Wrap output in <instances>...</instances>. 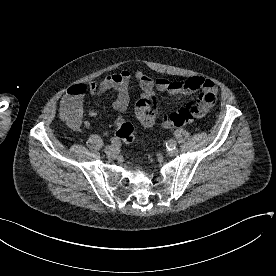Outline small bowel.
Listing matches in <instances>:
<instances>
[{"label":"small bowel","mask_w":276,"mask_h":276,"mask_svg":"<svg viewBox=\"0 0 276 276\" xmlns=\"http://www.w3.org/2000/svg\"><path fill=\"white\" fill-rule=\"evenodd\" d=\"M131 77V72L124 69L120 72L104 76L99 82L92 81L88 85L78 84L70 87L61 101V112L63 115L65 109L75 108L78 112V116L75 121L67 120L69 126L73 129L79 128L82 124L86 128L90 127L88 121H82L84 114V98L87 93L101 95L110 90L115 91L117 97L113 102V107L119 114L123 113L129 105V85ZM134 77L142 90L141 98L150 96L155 88L160 92H167L170 94H190L200 90L201 94L196 102L201 110L200 115L207 112L213 106L218 93V88L214 81L201 76H192L183 80H169L166 78H157L153 80L142 71H137ZM87 114L90 117H96L98 112L95 109H89ZM137 115L144 125L149 126L142 121L138 112Z\"/></svg>","instance_id":"obj_1"}]
</instances>
